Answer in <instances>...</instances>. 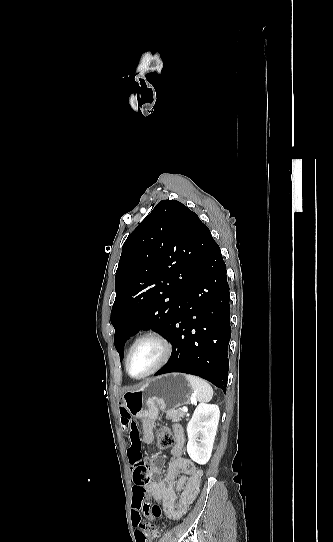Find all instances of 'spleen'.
I'll return each instance as SVG.
<instances>
[{"instance_id":"1","label":"spleen","mask_w":333,"mask_h":542,"mask_svg":"<svg viewBox=\"0 0 333 542\" xmlns=\"http://www.w3.org/2000/svg\"><path fill=\"white\" fill-rule=\"evenodd\" d=\"M186 380H188L191 390H193L197 402H210L213 398V390L210 384H207L205 380L197 378V376H190V374H184Z\"/></svg>"}]
</instances>
